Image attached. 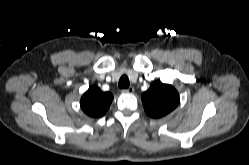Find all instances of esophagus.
I'll return each instance as SVG.
<instances>
[{"label":"esophagus","instance_id":"34e87169","mask_svg":"<svg viewBox=\"0 0 249 165\" xmlns=\"http://www.w3.org/2000/svg\"><path fill=\"white\" fill-rule=\"evenodd\" d=\"M122 92L132 94V93H134V87L131 86L127 89H123Z\"/></svg>","mask_w":249,"mask_h":165}]
</instances>
